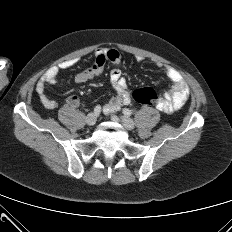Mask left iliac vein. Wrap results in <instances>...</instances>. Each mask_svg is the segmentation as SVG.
Returning a JSON list of instances; mask_svg holds the SVG:
<instances>
[{"label": "left iliac vein", "mask_w": 232, "mask_h": 232, "mask_svg": "<svg viewBox=\"0 0 232 232\" xmlns=\"http://www.w3.org/2000/svg\"><path fill=\"white\" fill-rule=\"evenodd\" d=\"M122 124L127 128L128 130H132L135 127V124L132 119H130L127 116H122L121 117Z\"/></svg>", "instance_id": "4c4485c4"}]
</instances>
